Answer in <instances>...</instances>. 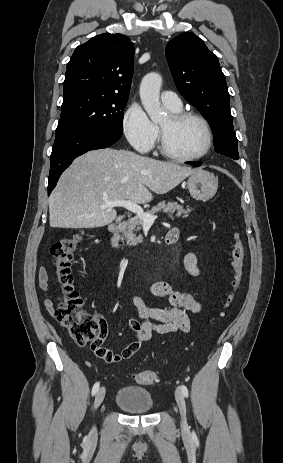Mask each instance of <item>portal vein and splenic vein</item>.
Returning a JSON list of instances; mask_svg holds the SVG:
<instances>
[{"instance_id": "obj_1", "label": "portal vein and splenic vein", "mask_w": 283, "mask_h": 463, "mask_svg": "<svg viewBox=\"0 0 283 463\" xmlns=\"http://www.w3.org/2000/svg\"><path fill=\"white\" fill-rule=\"evenodd\" d=\"M104 207H124L127 210L135 213L139 218L143 220L145 224L151 225L154 223L157 216L151 215L139 206L137 203L132 202L131 200H115V201H105Z\"/></svg>"}]
</instances>
